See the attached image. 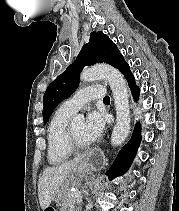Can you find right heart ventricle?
I'll list each match as a JSON object with an SVG mask.
<instances>
[{
  "label": "right heart ventricle",
  "mask_w": 179,
  "mask_h": 211,
  "mask_svg": "<svg viewBox=\"0 0 179 211\" xmlns=\"http://www.w3.org/2000/svg\"><path fill=\"white\" fill-rule=\"evenodd\" d=\"M72 115L59 108L48 123L47 160L51 165H61L73 155L67 144V128Z\"/></svg>",
  "instance_id": "obj_1"
}]
</instances>
